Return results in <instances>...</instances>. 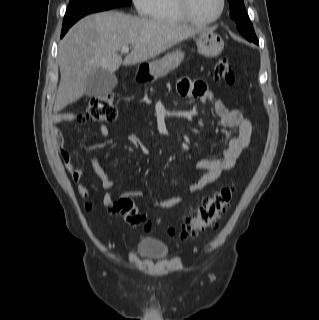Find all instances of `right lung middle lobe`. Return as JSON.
Returning a JSON list of instances; mask_svg holds the SVG:
<instances>
[{
  "instance_id": "dd1d6c3e",
  "label": "right lung middle lobe",
  "mask_w": 319,
  "mask_h": 320,
  "mask_svg": "<svg viewBox=\"0 0 319 320\" xmlns=\"http://www.w3.org/2000/svg\"><path fill=\"white\" fill-rule=\"evenodd\" d=\"M132 0H70L62 28H70L83 16L120 6L130 5Z\"/></svg>"
}]
</instances>
